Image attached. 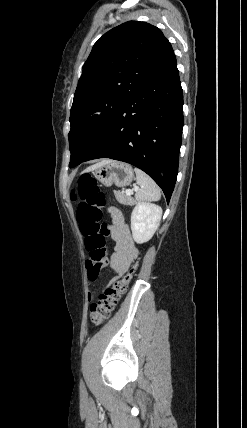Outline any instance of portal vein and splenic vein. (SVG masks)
<instances>
[{
	"mask_svg": "<svg viewBox=\"0 0 247 428\" xmlns=\"http://www.w3.org/2000/svg\"><path fill=\"white\" fill-rule=\"evenodd\" d=\"M138 189H139L138 187H134V189H132V190L127 189V190L125 191V194H126V195H128V196H130V195H132V194H133V191H137Z\"/></svg>",
	"mask_w": 247,
	"mask_h": 428,
	"instance_id": "portal-vein-and-splenic-vein-1",
	"label": "portal vein and splenic vein"
}]
</instances>
